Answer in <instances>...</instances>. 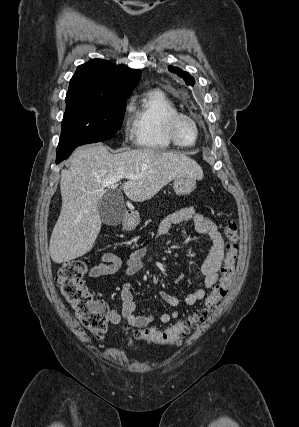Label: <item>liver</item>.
<instances>
[{"instance_id":"liver-1","label":"liver","mask_w":299,"mask_h":427,"mask_svg":"<svg viewBox=\"0 0 299 427\" xmlns=\"http://www.w3.org/2000/svg\"><path fill=\"white\" fill-rule=\"evenodd\" d=\"M61 171L62 208L50 238L49 252L55 263H64L89 252L100 232L98 205L106 193L103 181L119 173L137 175L122 184L134 202L155 196L179 177L203 178L201 167L180 152L144 148L111 154L103 144L80 146Z\"/></svg>"}]
</instances>
